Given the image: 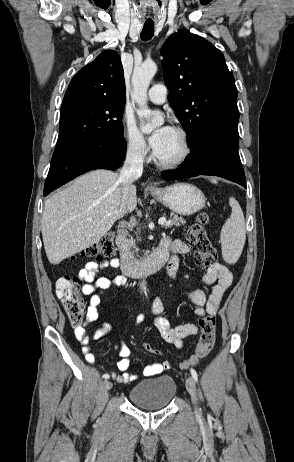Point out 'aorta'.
<instances>
[{
  "mask_svg": "<svg viewBox=\"0 0 294 462\" xmlns=\"http://www.w3.org/2000/svg\"><path fill=\"white\" fill-rule=\"evenodd\" d=\"M157 72V65L151 60L144 61L141 65L136 66L132 75V86L133 92L131 94L132 100L138 105L137 114L140 117H144L149 122L144 126L143 132L150 133L157 126L160 125V121L152 119V111L148 108L147 101V90L150 82ZM141 290L146 289V282L143 280L140 284Z\"/></svg>",
  "mask_w": 294,
  "mask_h": 462,
  "instance_id": "aorta-1",
  "label": "aorta"
}]
</instances>
